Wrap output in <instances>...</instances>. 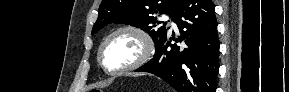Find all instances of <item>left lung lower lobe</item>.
Masks as SVG:
<instances>
[{"mask_svg": "<svg viewBox=\"0 0 289 92\" xmlns=\"http://www.w3.org/2000/svg\"><path fill=\"white\" fill-rule=\"evenodd\" d=\"M172 20L181 37L166 36L154 57L136 71L153 73L178 92H215L220 65L214 4L180 0ZM171 40L182 44H171Z\"/></svg>", "mask_w": 289, "mask_h": 92, "instance_id": "left-lung-lower-lobe-1", "label": "left lung lower lobe"}]
</instances>
